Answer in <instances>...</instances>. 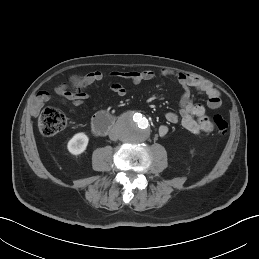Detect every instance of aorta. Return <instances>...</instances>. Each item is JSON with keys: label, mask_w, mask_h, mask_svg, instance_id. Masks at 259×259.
I'll return each mask as SVG.
<instances>
[{"label": "aorta", "mask_w": 259, "mask_h": 259, "mask_svg": "<svg viewBox=\"0 0 259 259\" xmlns=\"http://www.w3.org/2000/svg\"><path fill=\"white\" fill-rule=\"evenodd\" d=\"M120 137L130 143L145 141L150 135L148 119L141 113H128L124 115L118 124Z\"/></svg>", "instance_id": "obj_1"}]
</instances>
